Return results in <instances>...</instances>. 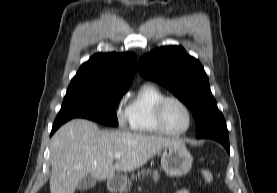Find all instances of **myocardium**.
<instances>
[{
  "instance_id": "1",
  "label": "myocardium",
  "mask_w": 277,
  "mask_h": 193,
  "mask_svg": "<svg viewBox=\"0 0 277 193\" xmlns=\"http://www.w3.org/2000/svg\"><path fill=\"white\" fill-rule=\"evenodd\" d=\"M169 101H175V102L179 103L187 112L188 124L183 130L171 131L165 125L163 113H164V107H165L166 103ZM154 115H155V123H156V126H157L158 130L160 131V133L169 135V136H180V135L187 133L190 130V128L192 127L193 120H194L193 113H192L189 105L184 100H182L181 98H179L177 96H165V97L161 98L158 101V103L156 104Z\"/></svg>"
}]
</instances>
